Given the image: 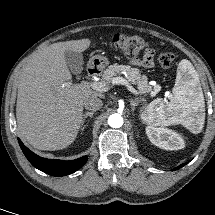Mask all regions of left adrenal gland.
Masks as SVG:
<instances>
[{"mask_svg":"<svg viewBox=\"0 0 215 215\" xmlns=\"http://www.w3.org/2000/svg\"><path fill=\"white\" fill-rule=\"evenodd\" d=\"M142 99L136 98L135 100L130 99L131 109L134 112L135 108L139 105Z\"/></svg>","mask_w":215,"mask_h":215,"instance_id":"a2214340","label":"left adrenal gland"}]
</instances>
